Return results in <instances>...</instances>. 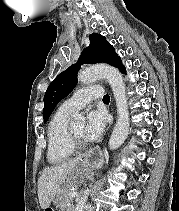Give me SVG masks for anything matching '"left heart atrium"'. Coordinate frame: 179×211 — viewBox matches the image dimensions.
Listing matches in <instances>:
<instances>
[{"label": "left heart atrium", "mask_w": 179, "mask_h": 211, "mask_svg": "<svg viewBox=\"0 0 179 211\" xmlns=\"http://www.w3.org/2000/svg\"><path fill=\"white\" fill-rule=\"evenodd\" d=\"M107 116L101 110H92L87 115L84 138L88 141L98 140L105 131Z\"/></svg>", "instance_id": "1"}]
</instances>
